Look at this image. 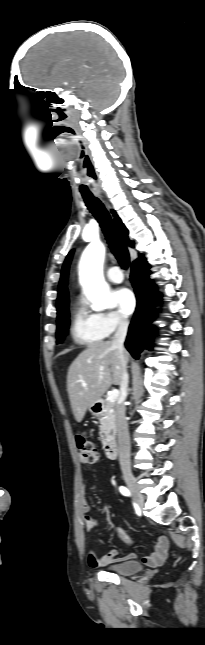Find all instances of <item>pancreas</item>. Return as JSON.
<instances>
[{"mask_svg":"<svg viewBox=\"0 0 205 645\" xmlns=\"http://www.w3.org/2000/svg\"><path fill=\"white\" fill-rule=\"evenodd\" d=\"M114 407L115 403L106 401L105 409L101 414L99 434L100 441L103 445H106L115 438L116 427Z\"/></svg>","mask_w":205,"mask_h":645,"instance_id":"1","label":"pancreas"}]
</instances>
